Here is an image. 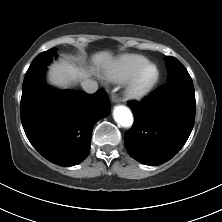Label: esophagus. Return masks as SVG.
Masks as SVG:
<instances>
[{"label":"esophagus","instance_id":"1","mask_svg":"<svg viewBox=\"0 0 222 222\" xmlns=\"http://www.w3.org/2000/svg\"><path fill=\"white\" fill-rule=\"evenodd\" d=\"M111 100H112V102L116 103L119 101V96L113 92L111 95Z\"/></svg>","mask_w":222,"mask_h":222}]
</instances>
